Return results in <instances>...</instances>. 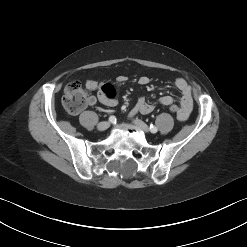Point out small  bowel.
Listing matches in <instances>:
<instances>
[{
  "mask_svg": "<svg viewBox=\"0 0 247 247\" xmlns=\"http://www.w3.org/2000/svg\"><path fill=\"white\" fill-rule=\"evenodd\" d=\"M127 80L126 76H119L117 81L123 83ZM139 83L141 85H146L150 82V79L147 76H142L139 78ZM85 86L88 90L96 92L95 95L88 96L87 105L93 106L97 102L113 107L117 104L116 100V91L115 88L109 83L98 82L96 80H87ZM174 86L180 92V101H179V111L177 118L180 121H185L193 108V98L190 85L183 78H177L174 81ZM174 99L172 96L164 95L159 99V102L163 106H169L173 103ZM154 109V105L147 102L144 97H139L135 106L131 111V115L136 113L149 114Z\"/></svg>",
  "mask_w": 247,
  "mask_h": 247,
  "instance_id": "obj_1",
  "label": "small bowel"
}]
</instances>
